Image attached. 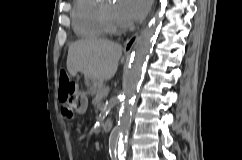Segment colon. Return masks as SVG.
Wrapping results in <instances>:
<instances>
[{
	"mask_svg": "<svg viewBox=\"0 0 242 160\" xmlns=\"http://www.w3.org/2000/svg\"><path fill=\"white\" fill-rule=\"evenodd\" d=\"M59 100L63 103L65 117H73L85 96L78 91L74 81L65 72L59 74Z\"/></svg>",
	"mask_w": 242,
	"mask_h": 160,
	"instance_id": "5ec220e1",
	"label": "colon"
}]
</instances>
